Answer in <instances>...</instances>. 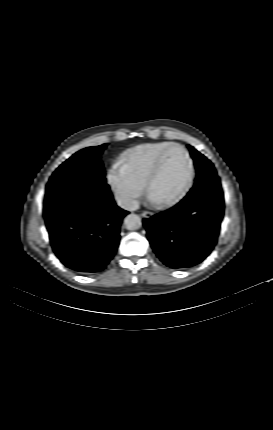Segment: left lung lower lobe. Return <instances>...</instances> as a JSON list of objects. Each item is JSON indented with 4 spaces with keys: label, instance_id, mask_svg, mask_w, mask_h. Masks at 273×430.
<instances>
[{
    "label": "left lung lower lobe",
    "instance_id": "obj_1",
    "mask_svg": "<svg viewBox=\"0 0 273 430\" xmlns=\"http://www.w3.org/2000/svg\"><path fill=\"white\" fill-rule=\"evenodd\" d=\"M223 214L220 179L216 174L204 175L176 206L144 219L143 224L160 260L173 269H184L211 253Z\"/></svg>",
    "mask_w": 273,
    "mask_h": 430
}]
</instances>
